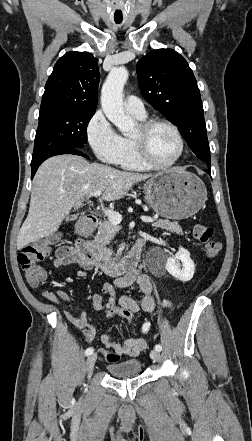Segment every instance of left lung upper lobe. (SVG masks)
<instances>
[{
	"instance_id": "obj_1",
	"label": "left lung upper lobe",
	"mask_w": 252,
	"mask_h": 441,
	"mask_svg": "<svg viewBox=\"0 0 252 441\" xmlns=\"http://www.w3.org/2000/svg\"><path fill=\"white\" fill-rule=\"evenodd\" d=\"M142 96L174 123L191 150L210 165V150L200 91L186 60L175 50L158 49L136 66Z\"/></svg>"
}]
</instances>
